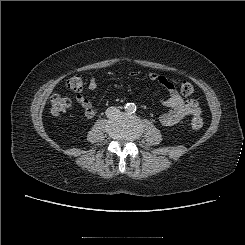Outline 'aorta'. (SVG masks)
I'll return each mask as SVG.
<instances>
[{
    "label": "aorta",
    "mask_w": 245,
    "mask_h": 245,
    "mask_svg": "<svg viewBox=\"0 0 245 245\" xmlns=\"http://www.w3.org/2000/svg\"><path fill=\"white\" fill-rule=\"evenodd\" d=\"M124 108L128 113H134L136 111V105L134 103H127Z\"/></svg>",
    "instance_id": "aorta-1"
}]
</instances>
